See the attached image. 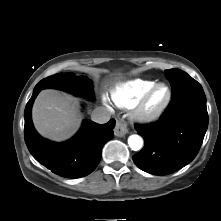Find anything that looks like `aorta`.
Wrapping results in <instances>:
<instances>
[{
  "label": "aorta",
  "mask_w": 221,
  "mask_h": 221,
  "mask_svg": "<svg viewBox=\"0 0 221 221\" xmlns=\"http://www.w3.org/2000/svg\"><path fill=\"white\" fill-rule=\"evenodd\" d=\"M128 144L132 150L138 151L143 146V139L139 135H131L128 138Z\"/></svg>",
  "instance_id": "1"
}]
</instances>
